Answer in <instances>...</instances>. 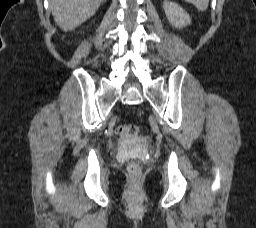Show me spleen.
<instances>
[{"label": "spleen", "instance_id": "obj_1", "mask_svg": "<svg viewBox=\"0 0 256 228\" xmlns=\"http://www.w3.org/2000/svg\"><path fill=\"white\" fill-rule=\"evenodd\" d=\"M185 1L192 3L200 11H205L209 3V0H185Z\"/></svg>", "mask_w": 256, "mask_h": 228}]
</instances>
